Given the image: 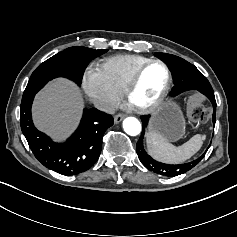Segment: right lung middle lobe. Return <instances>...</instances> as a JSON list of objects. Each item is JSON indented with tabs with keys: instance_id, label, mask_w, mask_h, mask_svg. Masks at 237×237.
Returning <instances> with one entry per match:
<instances>
[{
	"instance_id": "1",
	"label": "right lung middle lobe",
	"mask_w": 237,
	"mask_h": 237,
	"mask_svg": "<svg viewBox=\"0 0 237 237\" xmlns=\"http://www.w3.org/2000/svg\"><path fill=\"white\" fill-rule=\"evenodd\" d=\"M105 52L107 49L95 50L75 46L57 53L35 69L24 91L23 98L34 96L48 81L57 77H66L80 85L89 62Z\"/></svg>"
}]
</instances>
